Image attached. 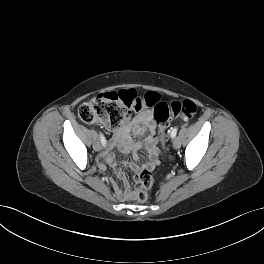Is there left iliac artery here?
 <instances>
[{
  "label": "left iliac artery",
  "mask_w": 264,
  "mask_h": 264,
  "mask_svg": "<svg viewBox=\"0 0 264 264\" xmlns=\"http://www.w3.org/2000/svg\"><path fill=\"white\" fill-rule=\"evenodd\" d=\"M176 134H177V127L173 128L171 130V137L174 138L176 136Z\"/></svg>",
  "instance_id": "obj_1"
}]
</instances>
